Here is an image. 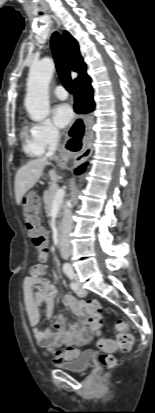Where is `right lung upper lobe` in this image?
I'll return each instance as SVG.
<instances>
[{"mask_svg": "<svg viewBox=\"0 0 155 413\" xmlns=\"http://www.w3.org/2000/svg\"><path fill=\"white\" fill-rule=\"evenodd\" d=\"M63 35L71 69L78 71L79 76L86 73V65L80 55L77 41L66 31Z\"/></svg>", "mask_w": 155, "mask_h": 413, "instance_id": "1", "label": "right lung upper lobe"}]
</instances>
